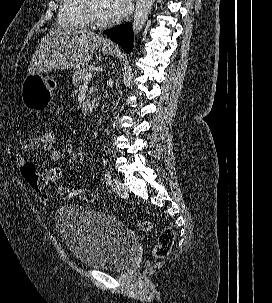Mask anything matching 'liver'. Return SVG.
<instances>
[{"label":"liver","mask_w":272,"mask_h":303,"mask_svg":"<svg viewBox=\"0 0 272 303\" xmlns=\"http://www.w3.org/2000/svg\"><path fill=\"white\" fill-rule=\"evenodd\" d=\"M104 38L84 28H57L39 43L27 75L86 66Z\"/></svg>","instance_id":"6515ba94"}]
</instances>
